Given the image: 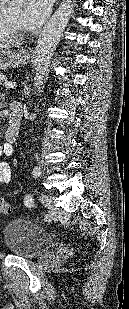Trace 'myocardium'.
<instances>
[{
  "label": "myocardium",
  "instance_id": "f54148a6",
  "mask_svg": "<svg viewBox=\"0 0 129 309\" xmlns=\"http://www.w3.org/2000/svg\"><path fill=\"white\" fill-rule=\"evenodd\" d=\"M3 22L4 25L8 31V33L14 38V37H18L19 35H21V31L18 30L14 24L10 21V19L6 16V14L3 13Z\"/></svg>",
  "mask_w": 129,
  "mask_h": 309
}]
</instances>
